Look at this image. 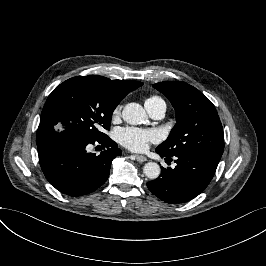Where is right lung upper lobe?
Returning a JSON list of instances; mask_svg holds the SVG:
<instances>
[{
  "mask_svg": "<svg viewBox=\"0 0 266 266\" xmlns=\"http://www.w3.org/2000/svg\"><path fill=\"white\" fill-rule=\"evenodd\" d=\"M116 81L121 86H123L127 89H131V91L138 88L139 86H141L143 84L142 82L134 81V80H116Z\"/></svg>",
  "mask_w": 266,
  "mask_h": 266,
  "instance_id": "1",
  "label": "right lung upper lobe"
}]
</instances>
